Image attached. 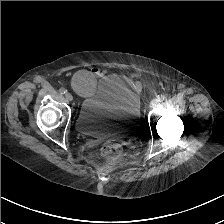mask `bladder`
Wrapping results in <instances>:
<instances>
[{"mask_svg":"<svg viewBox=\"0 0 224 224\" xmlns=\"http://www.w3.org/2000/svg\"><path fill=\"white\" fill-rule=\"evenodd\" d=\"M140 126L137 96L116 75L101 78L86 96L76 116L77 130L98 139L127 140Z\"/></svg>","mask_w":224,"mask_h":224,"instance_id":"1","label":"bladder"}]
</instances>
